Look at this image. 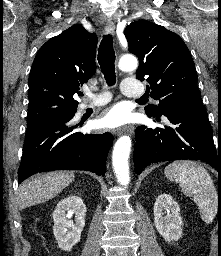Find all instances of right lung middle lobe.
Returning a JSON list of instances; mask_svg holds the SVG:
<instances>
[{
    "instance_id": "1",
    "label": "right lung middle lobe",
    "mask_w": 221,
    "mask_h": 256,
    "mask_svg": "<svg viewBox=\"0 0 221 256\" xmlns=\"http://www.w3.org/2000/svg\"><path fill=\"white\" fill-rule=\"evenodd\" d=\"M72 114L74 113L57 111V112H46V113H40V114H34L32 116H28L27 130L35 128L47 121L57 119V118H63Z\"/></svg>"
}]
</instances>
